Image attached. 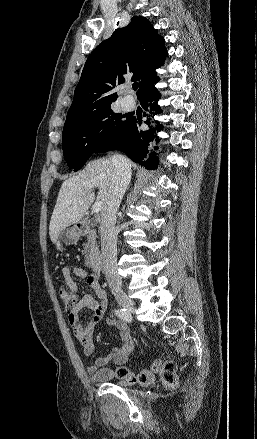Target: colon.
<instances>
[{
    "label": "colon",
    "mask_w": 257,
    "mask_h": 439,
    "mask_svg": "<svg viewBox=\"0 0 257 439\" xmlns=\"http://www.w3.org/2000/svg\"><path fill=\"white\" fill-rule=\"evenodd\" d=\"M59 294L65 307L68 309V311H71L77 304V294L67 288H61ZM158 367V365L153 366L154 369H157ZM160 369L165 385L168 387H174L177 382L175 367L171 363H168L164 366H161ZM116 377L123 385H132L135 383L148 385L152 382V374L150 372L141 371L135 374L125 367H120L117 369Z\"/></svg>",
    "instance_id": "obj_1"
}]
</instances>
